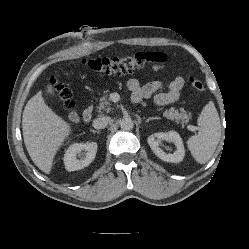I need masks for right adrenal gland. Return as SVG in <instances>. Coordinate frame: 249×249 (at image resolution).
Returning <instances> with one entry per match:
<instances>
[{
  "instance_id": "obj_1",
  "label": "right adrenal gland",
  "mask_w": 249,
  "mask_h": 249,
  "mask_svg": "<svg viewBox=\"0 0 249 249\" xmlns=\"http://www.w3.org/2000/svg\"><path fill=\"white\" fill-rule=\"evenodd\" d=\"M91 132H93V133H97V134H99V133H100L99 131H95V130H91Z\"/></svg>"
}]
</instances>
